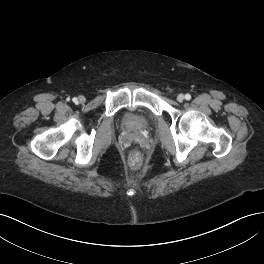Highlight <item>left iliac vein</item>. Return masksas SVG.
Wrapping results in <instances>:
<instances>
[{
  "mask_svg": "<svg viewBox=\"0 0 264 264\" xmlns=\"http://www.w3.org/2000/svg\"><path fill=\"white\" fill-rule=\"evenodd\" d=\"M183 100H184V95H183V94H179V95L177 96V101H178V102H183Z\"/></svg>",
  "mask_w": 264,
  "mask_h": 264,
  "instance_id": "4c4485c4",
  "label": "left iliac vein"
}]
</instances>
